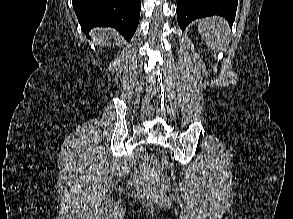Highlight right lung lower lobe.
<instances>
[{"instance_id":"right-lung-lower-lobe-1","label":"right lung lower lobe","mask_w":293,"mask_h":219,"mask_svg":"<svg viewBox=\"0 0 293 219\" xmlns=\"http://www.w3.org/2000/svg\"><path fill=\"white\" fill-rule=\"evenodd\" d=\"M82 31L88 35L93 27H113L126 40L135 33L141 0H72Z\"/></svg>"}]
</instances>
